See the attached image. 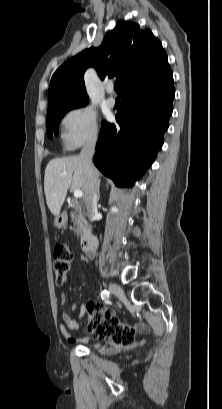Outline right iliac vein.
Segmentation results:
<instances>
[{"label":"right iliac vein","instance_id":"right-iliac-vein-1","mask_svg":"<svg viewBox=\"0 0 222 409\" xmlns=\"http://www.w3.org/2000/svg\"><path fill=\"white\" fill-rule=\"evenodd\" d=\"M109 291L117 296H122L123 295V290L122 288L116 284V283H111L109 284Z\"/></svg>","mask_w":222,"mask_h":409}]
</instances>
